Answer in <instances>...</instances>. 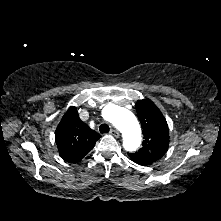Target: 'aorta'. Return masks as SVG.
Instances as JSON below:
<instances>
[{
	"instance_id": "1",
	"label": "aorta",
	"mask_w": 221,
	"mask_h": 221,
	"mask_svg": "<svg viewBox=\"0 0 221 221\" xmlns=\"http://www.w3.org/2000/svg\"><path fill=\"white\" fill-rule=\"evenodd\" d=\"M108 120L123 134V146L127 151L136 150L141 144V129L132 112L111 106Z\"/></svg>"
}]
</instances>
